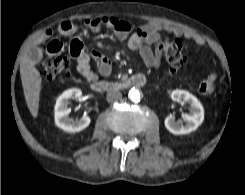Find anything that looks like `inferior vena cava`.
I'll list each match as a JSON object with an SVG mask.
<instances>
[{"mask_svg":"<svg viewBox=\"0 0 245 195\" xmlns=\"http://www.w3.org/2000/svg\"><path fill=\"white\" fill-rule=\"evenodd\" d=\"M122 98V94L119 91L112 90L107 93V101L112 103L120 100Z\"/></svg>","mask_w":245,"mask_h":195,"instance_id":"602c4592","label":"inferior vena cava"}]
</instances>
